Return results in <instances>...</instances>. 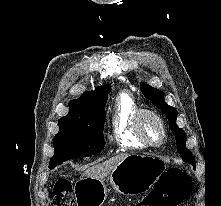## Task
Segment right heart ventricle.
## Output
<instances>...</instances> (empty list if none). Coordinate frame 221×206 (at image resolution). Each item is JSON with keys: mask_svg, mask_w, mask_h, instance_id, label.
<instances>
[{"mask_svg": "<svg viewBox=\"0 0 221 206\" xmlns=\"http://www.w3.org/2000/svg\"><path fill=\"white\" fill-rule=\"evenodd\" d=\"M138 109L135 99L127 92H122L115 100L111 117L112 135L120 148L142 149L146 147L135 132L134 117Z\"/></svg>", "mask_w": 221, "mask_h": 206, "instance_id": "e07e8e85", "label": "right heart ventricle"}]
</instances>
